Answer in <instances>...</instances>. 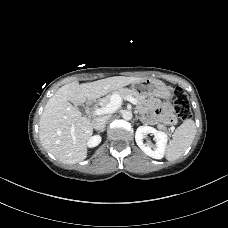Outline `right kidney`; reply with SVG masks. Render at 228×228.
<instances>
[{
    "instance_id": "obj_1",
    "label": "right kidney",
    "mask_w": 228,
    "mask_h": 228,
    "mask_svg": "<svg viewBox=\"0 0 228 228\" xmlns=\"http://www.w3.org/2000/svg\"><path fill=\"white\" fill-rule=\"evenodd\" d=\"M101 142V137L99 135L93 136L89 139V141L87 142V145L89 147H96L97 145H99Z\"/></svg>"
}]
</instances>
